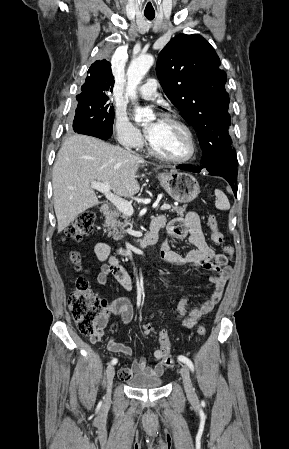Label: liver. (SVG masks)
I'll return each mask as SVG.
<instances>
[{"label":"liver","mask_w":289,"mask_h":449,"mask_svg":"<svg viewBox=\"0 0 289 449\" xmlns=\"http://www.w3.org/2000/svg\"><path fill=\"white\" fill-rule=\"evenodd\" d=\"M144 160L94 137L73 135L60 148L53 166L52 185L58 233L100 202L90 185L108 183L117 196L131 197L140 186L137 171Z\"/></svg>","instance_id":"liver-1"}]
</instances>
